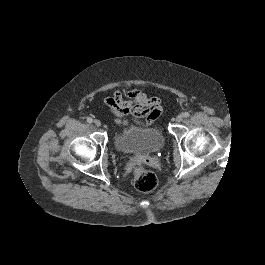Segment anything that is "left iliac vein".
Masks as SVG:
<instances>
[{
	"mask_svg": "<svg viewBox=\"0 0 265 265\" xmlns=\"http://www.w3.org/2000/svg\"><path fill=\"white\" fill-rule=\"evenodd\" d=\"M183 118H184L183 114H179V115H177V117H176V121H177V122H181V121L183 120Z\"/></svg>",
	"mask_w": 265,
	"mask_h": 265,
	"instance_id": "left-iliac-vein-1",
	"label": "left iliac vein"
}]
</instances>
